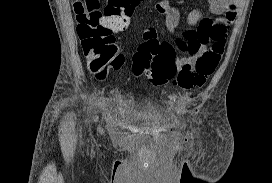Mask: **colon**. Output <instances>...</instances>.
<instances>
[{
	"instance_id": "colon-1",
	"label": "colon",
	"mask_w": 272,
	"mask_h": 183,
	"mask_svg": "<svg viewBox=\"0 0 272 183\" xmlns=\"http://www.w3.org/2000/svg\"><path fill=\"white\" fill-rule=\"evenodd\" d=\"M140 0H108L101 10L99 0H77L73 4L76 31L87 58L89 70L105 76L124 63L114 33L124 30ZM224 39L213 41L195 66L178 68L174 47L165 41L143 42L134 54L132 72L145 74L154 85L172 82L184 90L202 87L217 68L224 53Z\"/></svg>"
}]
</instances>
